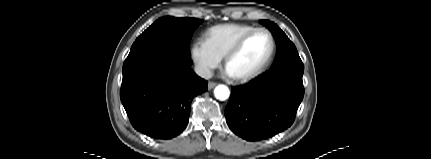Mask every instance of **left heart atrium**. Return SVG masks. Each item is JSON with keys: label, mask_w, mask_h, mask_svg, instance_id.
<instances>
[{"label": "left heart atrium", "mask_w": 431, "mask_h": 159, "mask_svg": "<svg viewBox=\"0 0 431 159\" xmlns=\"http://www.w3.org/2000/svg\"><path fill=\"white\" fill-rule=\"evenodd\" d=\"M226 72L229 76L233 77L232 74L228 70Z\"/></svg>", "instance_id": "left-heart-atrium-1"}]
</instances>
